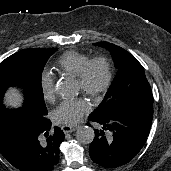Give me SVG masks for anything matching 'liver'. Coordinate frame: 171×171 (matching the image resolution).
Returning a JSON list of instances; mask_svg holds the SVG:
<instances>
[{"label":"liver","mask_w":171,"mask_h":171,"mask_svg":"<svg viewBox=\"0 0 171 171\" xmlns=\"http://www.w3.org/2000/svg\"><path fill=\"white\" fill-rule=\"evenodd\" d=\"M6 102L12 107H17L22 102V96L16 89H10L7 94Z\"/></svg>","instance_id":"liver-1"}]
</instances>
